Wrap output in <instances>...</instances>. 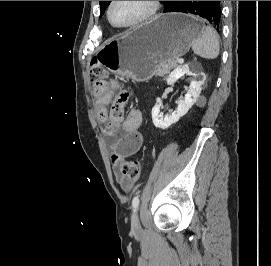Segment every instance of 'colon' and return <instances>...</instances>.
<instances>
[{"label":"colon","mask_w":271,"mask_h":266,"mask_svg":"<svg viewBox=\"0 0 271 266\" xmlns=\"http://www.w3.org/2000/svg\"><path fill=\"white\" fill-rule=\"evenodd\" d=\"M90 80L94 86L100 89H116L117 95L121 99L129 98V92L124 87L116 82L108 81L107 71L97 64H91L89 71ZM112 153V162L118 167L122 177L130 180L137 181L140 177V164L136 160H124L114 151Z\"/></svg>","instance_id":"5ec220e1"}]
</instances>
